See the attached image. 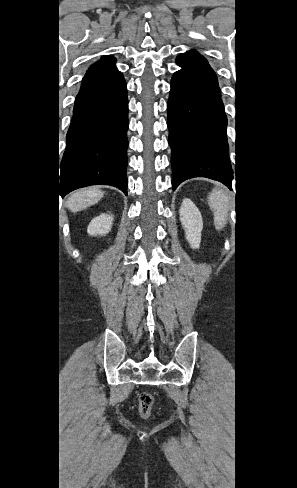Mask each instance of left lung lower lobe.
I'll list each match as a JSON object with an SVG mask.
<instances>
[{"instance_id": "left-lung-lower-lobe-1", "label": "left lung lower lobe", "mask_w": 297, "mask_h": 488, "mask_svg": "<svg viewBox=\"0 0 297 488\" xmlns=\"http://www.w3.org/2000/svg\"><path fill=\"white\" fill-rule=\"evenodd\" d=\"M167 110L173 190L193 177L217 180L231 189L234 177L221 96L177 71L172 76Z\"/></svg>"}]
</instances>
